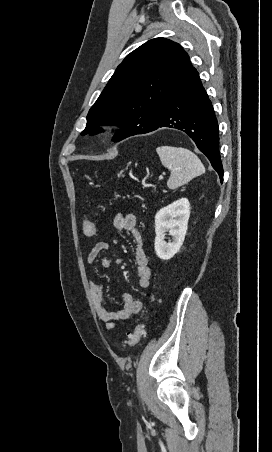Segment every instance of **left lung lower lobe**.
<instances>
[{"label":"left lung lower lobe","instance_id":"1","mask_svg":"<svg viewBox=\"0 0 272 452\" xmlns=\"http://www.w3.org/2000/svg\"><path fill=\"white\" fill-rule=\"evenodd\" d=\"M160 127L175 128L187 133L198 149L207 156L219 174L221 182L223 181L218 122L199 74L193 66L163 105L156 123L146 129L127 134L121 140Z\"/></svg>","mask_w":272,"mask_h":452}]
</instances>
